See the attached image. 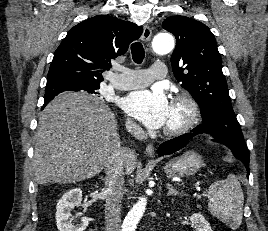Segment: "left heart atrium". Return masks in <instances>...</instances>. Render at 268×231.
<instances>
[{
	"instance_id": "obj_1",
	"label": "left heart atrium",
	"mask_w": 268,
	"mask_h": 231,
	"mask_svg": "<svg viewBox=\"0 0 268 231\" xmlns=\"http://www.w3.org/2000/svg\"><path fill=\"white\" fill-rule=\"evenodd\" d=\"M123 108L148 128L157 129L165 125L170 104L164 91L156 87L130 93L123 101Z\"/></svg>"
}]
</instances>
